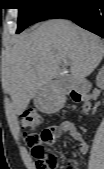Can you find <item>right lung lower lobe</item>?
I'll use <instances>...</instances> for the list:
<instances>
[{"label": "right lung lower lobe", "instance_id": "right-lung-lower-lobe-1", "mask_svg": "<svg viewBox=\"0 0 104 169\" xmlns=\"http://www.w3.org/2000/svg\"><path fill=\"white\" fill-rule=\"evenodd\" d=\"M51 18H67L104 38V0H76Z\"/></svg>", "mask_w": 104, "mask_h": 169}]
</instances>
